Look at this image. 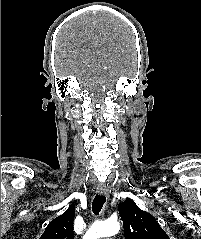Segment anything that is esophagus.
Segmentation results:
<instances>
[{"label":"esophagus","instance_id":"obj_1","mask_svg":"<svg viewBox=\"0 0 201 239\" xmlns=\"http://www.w3.org/2000/svg\"><path fill=\"white\" fill-rule=\"evenodd\" d=\"M97 193H98L99 195H104V196H107V197L110 196V191H109V189H108L107 187H105V186H98V187H97Z\"/></svg>","mask_w":201,"mask_h":239}]
</instances>
